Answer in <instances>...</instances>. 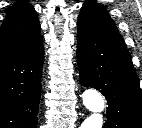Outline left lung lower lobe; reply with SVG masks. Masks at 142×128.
<instances>
[{
  "instance_id": "left-lung-lower-lobe-1",
  "label": "left lung lower lobe",
  "mask_w": 142,
  "mask_h": 128,
  "mask_svg": "<svg viewBox=\"0 0 142 128\" xmlns=\"http://www.w3.org/2000/svg\"><path fill=\"white\" fill-rule=\"evenodd\" d=\"M77 26L81 83L106 97L104 128H142V93L125 43Z\"/></svg>"
}]
</instances>
